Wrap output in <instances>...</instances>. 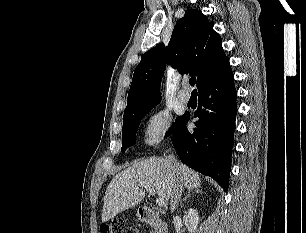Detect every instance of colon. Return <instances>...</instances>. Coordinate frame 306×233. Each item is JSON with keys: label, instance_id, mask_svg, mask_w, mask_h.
I'll list each match as a JSON object with an SVG mask.
<instances>
[{"label": "colon", "instance_id": "obj_1", "mask_svg": "<svg viewBox=\"0 0 306 233\" xmlns=\"http://www.w3.org/2000/svg\"><path fill=\"white\" fill-rule=\"evenodd\" d=\"M124 225V221L114 220L110 223L103 224L100 227V233H122Z\"/></svg>", "mask_w": 306, "mask_h": 233}]
</instances>
